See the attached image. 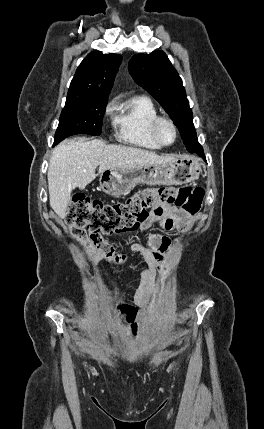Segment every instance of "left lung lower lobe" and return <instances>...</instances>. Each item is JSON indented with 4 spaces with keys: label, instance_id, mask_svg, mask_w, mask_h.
Wrapping results in <instances>:
<instances>
[{
    "label": "left lung lower lobe",
    "instance_id": "0a47b994",
    "mask_svg": "<svg viewBox=\"0 0 264 429\" xmlns=\"http://www.w3.org/2000/svg\"><path fill=\"white\" fill-rule=\"evenodd\" d=\"M197 154L202 155L204 157V153L202 149H198L195 151Z\"/></svg>",
    "mask_w": 264,
    "mask_h": 429
}]
</instances>
